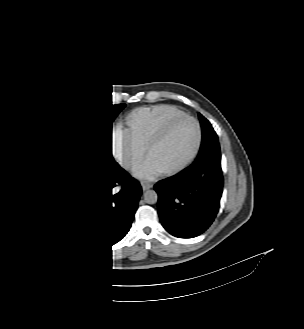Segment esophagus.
<instances>
[{
  "instance_id": "esophagus-1",
  "label": "esophagus",
  "mask_w": 304,
  "mask_h": 329,
  "mask_svg": "<svg viewBox=\"0 0 304 329\" xmlns=\"http://www.w3.org/2000/svg\"><path fill=\"white\" fill-rule=\"evenodd\" d=\"M153 187V184L152 183H149V182H142V188H143V191H146L150 188Z\"/></svg>"
}]
</instances>
